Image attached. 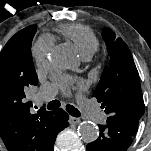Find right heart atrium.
<instances>
[{"mask_svg": "<svg viewBox=\"0 0 151 151\" xmlns=\"http://www.w3.org/2000/svg\"><path fill=\"white\" fill-rule=\"evenodd\" d=\"M45 55H46V52L41 47H35L33 49V56L37 62H40L44 58Z\"/></svg>", "mask_w": 151, "mask_h": 151, "instance_id": "obj_1", "label": "right heart atrium"}]
</instances>
